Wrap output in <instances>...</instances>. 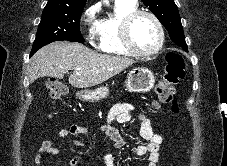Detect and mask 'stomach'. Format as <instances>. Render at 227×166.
Wrapping results in <instances>:
<instances>
[{
    "label": "stomach",
    "mask_w": 227,
    "mask_h": 166,
    "mask_svg": "<svg viewBox=\"0 0 227 166\" xmlns=\"http://www.w3.org/2000/svg\"><path fill=\"white\" fill-rule=\"evenodd\" d=\"M155 84L154 74L147 68L138 67L132 69L127 76L125 86L129 91L146 93ZM109 94L107 86H101L95 90H81L76 93V97L81 101L94 102L104 99Z\"/></svg>",
    "instance_id": "obj_1"
}]
</instances>
